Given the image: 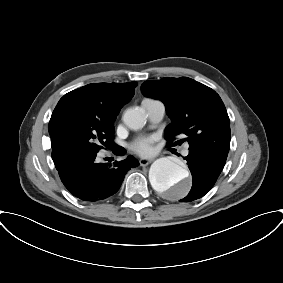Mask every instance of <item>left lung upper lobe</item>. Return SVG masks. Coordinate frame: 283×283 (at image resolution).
<instances>
[{
	"mask_svg": "<svg viewBox=\"0 0 283 283\" xmlns=\"http://www.w3.org/2000/svg\"><path fill=\"white\" fill-rule=\"evenodd\" d=\"M141 91L164 102L172 121L166 127L168 143L176 135L184 134L189 153L209 163L225 165L230 148V120L214 90L188 77H180L145 81Z\"/></svg>",
	"mask_w": 283,
	"mask_h": 283,
	"instance_id": "left-lung-upper-lobe-1",
	"label": "left lung upper lobe"
}]
</instances>
